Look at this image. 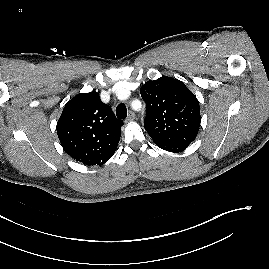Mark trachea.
<instances>
[{"instance_id": "1", "label": "trachea", "mask_w": 269, "mask_h": 269, "mask_svg": "<svg viewBox=\"0 0 269 269\" xmlns=\"http://www.w3.org/2000/svg\"><path fill=\"white\" fill-rule=\"evenodd\" d=\"M116 115L119 119H125L127 117V108L123 103L116 107Z\"/></svg>"}]
</instances>
